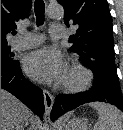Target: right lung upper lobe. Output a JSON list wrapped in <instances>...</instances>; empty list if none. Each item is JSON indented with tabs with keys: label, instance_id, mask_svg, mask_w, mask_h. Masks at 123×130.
<instances>
[{
	"label": "right lung upper lobe",
	"instance_id": "obj_1",
	"mask_svg": "<svg viewBox=\"0 0 123 130\" xmlns=\"http://www.w3.org/2000/svg\"><path fill=\"white\" fill-rule=\"evenodd\" d=\"M31 6L32 0H1V44H7L6 35L28 16Z\"/></svg>",
	"mask_w": 123,
	"mask_h": 130
}]
</instances>
